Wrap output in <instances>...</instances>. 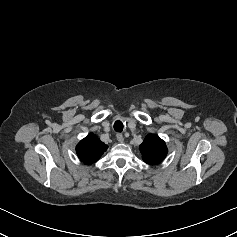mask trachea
<instances>
[{
  "instance_id": "obj_1",
  "label": "trachea",
  "mask_w": 237,
  "mask_h": 237,
  "mask_svg": "<svg viewBox=\"0 0 237 237\" xmlns=\"http://www.w3.org/2000/svg\"><path fill=\"white\" fill-rule=\"evenodd\" d=\"M114 130L116 132H122L123 131V123L119 120H117L115 123H114Z\"/></svg>"
}]
</instances>
